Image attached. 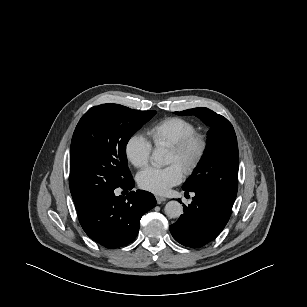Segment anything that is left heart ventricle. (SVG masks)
Segmentation results:
<instances>
[{"label":"left heart ventricle","mask_w":307,"mask_h":307,"mask_svg":"<svg viewBox=\"0 0 307 307\" xmlns=\"http://www.w3.org/2000/svg\"><path fill=\"white\" fill-rule=\"evenodd\" d=\"M167 164H177L182 168V162L180 158L173 152L169 151Z\"/></svg>","instance_id":"left-heart-ventricle-1"}]
</instances>
